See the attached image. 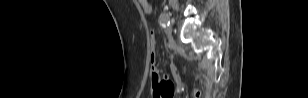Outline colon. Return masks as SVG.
I'll list each match as a JSON object with an SVG mask.
<instances>
[{"label": "colon", "instance_id": "colon-1", "mask_svg": "<svg viewBox=\"0 0 308 98\" xmlns=\"http://www.w3.org/2000/svg\"><path fill=\"white\" fill-rule=\"evenodd\" d=\"M153 43V40H152ZM151 87L154 98H170L174 94V85L167 77H161L158 69L156 52L153 49L150 62ZM195 97H200V91H195Z\"/></svg>", "mask_w": 308, "mask_h": 98}]
</instances>
